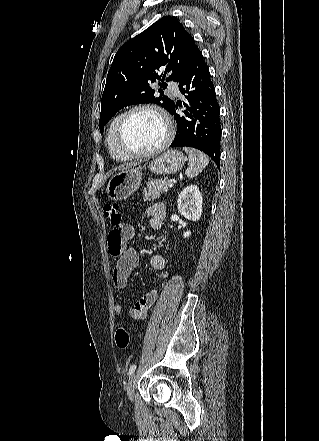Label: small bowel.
I'll return each mask as SVG.
<instances>
[{"instance_id": "small-bowel-1", "label": "small bowel", "mask_w": 319, "mask_h": 441, "mask_svg": "<svg viewBox=\"0 0 319 441\" xmlns=\"http://www.w3.org/2000/svg\"><path fill=\"white\" fill-rule=\"evenodd\" d=\"M149 226L153 230H160L162 221L166 215L165 206L162 203H155L146 210ZM134 231L131 225H120L114 234L108 237L109 252L117 257V261L113 271V282L117 289H123L127 285L131 272L139 263V254L136 249L128 244L133 237ZM152 268L156 270H164L166 268V259L160 254H154L150 258ZM167 275V273H166ZM158 293L156 290L150 291L143 295L130 309L129 313L132 319L142 320L148 315L151 306L156 302ZM114 312L122 315L124 306L121 303L114 305Z\"/></svg>"}]
</instances>
